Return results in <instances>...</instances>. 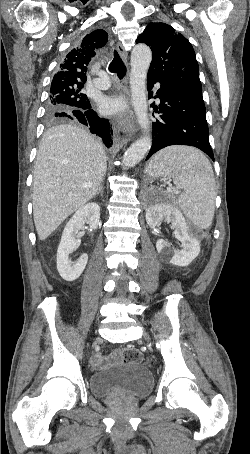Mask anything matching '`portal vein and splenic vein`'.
Segmentation results:
<instances>
[{"label": "portal vein and splenic vein", "instance_id": "18ae733b", "mask_svg": "<svg viewBox=\"0 0 250 454\" xmlns=\"http://www.w3.org/2000/svg\"><path fill=\"white\" fill-rule=\"evenodd\" d=\"M174 191H177V189L173 188Z\"/></svg>", "mask_w": 250, "mask_h": 454}]
</instances>
